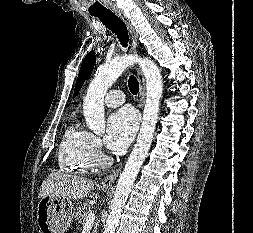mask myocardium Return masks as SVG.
<instances>
[{
  "instance_id": "1",
  "label": "myocardium",
  "mask_w": 253,
  "mask_h": 233,
  "mask_svg": "<svg viewBox=\"0 0 253 233\" xmlns=\"http://www.w3.org/2000/svg\"><path fill=\"white\" fill-rule=\"evenodd\" d=\"M96 162L97 163H104L105 162V159L104 158H98L97 160H96Z\"/></svg>"
}]
</instances>
